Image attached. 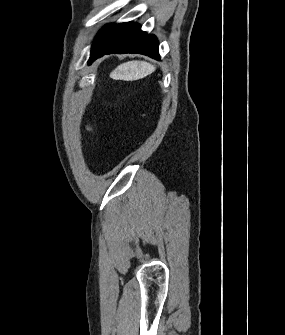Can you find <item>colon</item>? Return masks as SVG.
<instances>
[{
  "label": "colon",
  "mask_w": 285,
  "mask_h": 335,
  "mask_svg": "<svg viewBox=\"0 0 285 335\" xmlns=\"http://www.w3.org/2000/svg\"><path fill=\"white\" fill-rule=\"evenodd\" d=\"M86 130L87 132L89 133L90 137H91V140H92V147H93V131H94V128H93V125L91 123H88L86 125Z\"/></svg>",
  "instance_id": "1"
}]
</instances>
